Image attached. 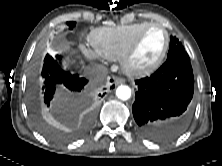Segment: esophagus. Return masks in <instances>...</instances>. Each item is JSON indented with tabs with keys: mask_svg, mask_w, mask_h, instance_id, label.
<instances>
[{
	"mask_svg": "<svg viewBox=\"0 0 222 166\" xmlns=\"http://www.w3.org/2000/svg\"><path fill=\"white\" fill-rule=\"evenodd\" d=\"M114 82L116 85H119V84H123L125 82V80L121 77H115Z\"/></svg>",
	"mask_w": 222,
	"mask_h": 166,
	"instance_id": "34e87169",
	"label": "esophagus"
}]
</instances>
